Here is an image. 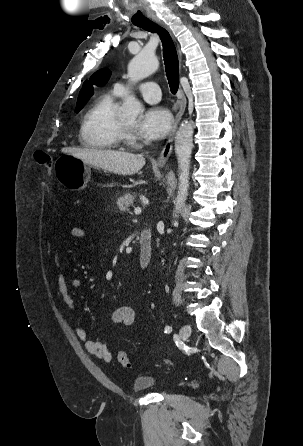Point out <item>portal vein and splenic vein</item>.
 I'll return each instance as SVG.
<instances>
[{"instance_id":"18ae733b","label":"portal vein and splenic vein","mask_w":303,"mask_h":446,"mask_svg":"<svg viewBox=\"0 0 303 446\" xmlns=\"http://www.w3.org/2000/svg\"><path fill=\"white\" fill-rule=\"evenodd\" d=\"M135 214H140L141 213V208L140 207H136L134 210Z\"/></svg>"}]
</instances>
